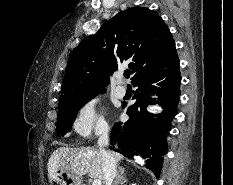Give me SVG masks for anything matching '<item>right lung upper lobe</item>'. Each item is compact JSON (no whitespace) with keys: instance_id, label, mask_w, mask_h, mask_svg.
<instances>
[{"instance_id":"obj_1","label":"right lung upper lobe","mask_w":233,"mask_h":185,"mask_svg":"<svg viewBox=\"0 0 233 185\" xmlns=\"http://www.w3.org/2000/svg\"><path fill=\"white\" fill-rule=\"evenodd\" d=\"M175 41L163 19L145 7L119 12L72 52L62 82L59 105L104 92L109 76L122 63L134 74L172 63Z\"/></svg>"}]
</instances>
